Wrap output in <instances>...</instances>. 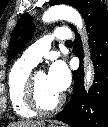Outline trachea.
Here are the masks:
<instances>
[{"label":"trachea","mask_w":108,"mask_h":127,"mask_svg":"<svg viewBox=\"0 0 108 127\" xmlns=\"http://www.w3.org/2000/svg\"><path fill=\"white\" fill-rule=\"evenodd\" d=\"M71 43H72L71 40H67V41L65 42V44H71Z\"/></svg>","instance_id":"3493384b"}]
</instances>
